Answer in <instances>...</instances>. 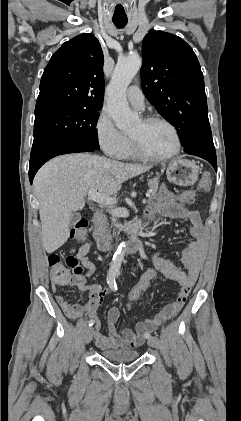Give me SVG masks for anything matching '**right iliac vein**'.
<instances>
[{
  "label": "right iliac vein",
  "mask_w": 241,
  "mask_h": 421,
  "mask_svg": "<svg viewBox=\"0 0 241 421\" xmlns=\"http://www.w3.org/2000/svg\"><path fill=\"white\" fill-rule=\"evenodd\" d=\"M93 337V328L92 327H88L85 329V333H84V342L86 344L90 343V341L92 340Z\"/></svg>",
  "instance_id": "1"
}]
</instances>
